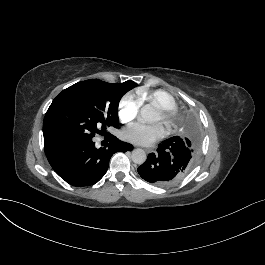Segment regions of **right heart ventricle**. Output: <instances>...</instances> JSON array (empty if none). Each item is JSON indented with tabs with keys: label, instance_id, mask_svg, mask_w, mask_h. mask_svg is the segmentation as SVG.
<instances>
[{
	"label": "right heart ventricle",
	"instance_id": "right-heart-ventricle-1",
	"mask_svg": "<svg viewBox=\"0 0 265 265\" xmlns=\"http://www.w3.org/2000/svg\"><path fill=\"white\" fill-rule=\"evenodd\" d=\"M138 97L142 103L148 102L149 104L154 105L157 110L163 107L176 106L174 98L169 93L161 90L152 92L147 90H141L138 92Z\"/></svg>",
	"mask_w": 265,
	"mask_h": 265
}]
</instances>
